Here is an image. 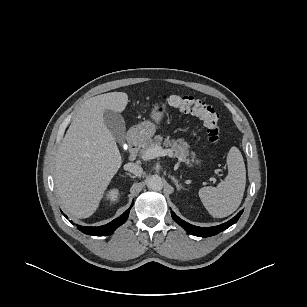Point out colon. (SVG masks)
Returning a JSON list of instances; mask_svg holds the SVG:
<instances>
[{
  "label": "colon",
  "mask_w": 307,
  "mask_h": 307,
  "mask_svg": "<svg viewBox=\"0 0 307 307\" xmlns=\"http://www.w3.org/2000/svg\"><path fill=\"white\" fill-rule=\"evenodd\" d=\"M164 100L170 106L198 117L207 130L209 141L220 146L219 116L213 107L190 96L170 95L164 96Z\"/></svg>",
  "instance_id": "1"
}]
</instances>
